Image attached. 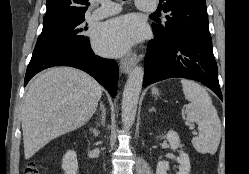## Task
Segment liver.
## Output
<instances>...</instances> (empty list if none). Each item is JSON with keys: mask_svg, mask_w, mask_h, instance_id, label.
<instances>
[{"mask_svg": "<svg viewBox=\"0 0 249 174\" xmlns=\"http://www.w3.org/2000/svg\"><path fill=\"white\" fill-rule=\"evenodd\" d=\"M101 85L72 67H56L30 84L21 111L25 159L51 140L85 125L98 105Z\"/></svg>", "mask_w": 249, "mask_h": 174, "instance_id": "liver-1", "label": "liver"}]
</instances>
